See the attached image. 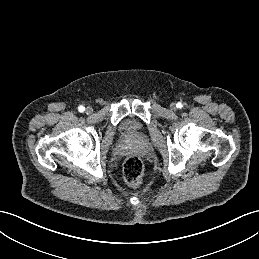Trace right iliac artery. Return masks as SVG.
<instances>
[{
    "mask_svg": "<svg viewBox=\"0 0 259 259\" xmlns=\"http://www.w3.org/2000/svg\"><path fill=\"white\" fill-rule=\"evenodd\" d=\"M78 110H79V112H84L85 107H84V106H82V105H80V106L78 107Z\"/></svg>",
    "mask_w": 259,
    "mask_h": 259,
    "instance_id": "82829eb1",
    "label": "right iliac artery"
}]
</instances>
